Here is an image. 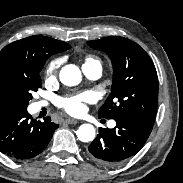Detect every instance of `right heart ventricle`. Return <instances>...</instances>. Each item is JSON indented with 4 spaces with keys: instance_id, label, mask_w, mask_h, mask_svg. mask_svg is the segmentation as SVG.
<instances>
[{
    "instance_id": "e07e8e85",
    "label": "right heart ventricle",
    "mask_w": 183,
    "mask_h": 183,
    "mask_svg": "<svg viewBox=\"0 0 183 183\" xmlns=\"http://www.w3.org/2000/svg\"><path fill=\"white\" fill-rule=\"evenodd\" d=\"M95 62H98V61L95 58H93L91 56H88L85 59L84 65L92 64V63H95Z\"/></svg>"
}]
</instances>
